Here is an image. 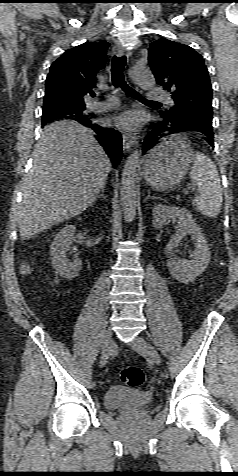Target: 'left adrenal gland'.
I'll return each mask as SVG.
<instances>
[{"label": "left adrenal gland", "mask_w": 238, "mask_h": 476, "mask_svg": "<svg viewBox=\"0 0 238 476\" xmlns=\"http://www.w3.org/2000/svg\"><path fill=\"white\" fill-rule=\"evenodd\" d=\"M157 198H158V197L151 196V195H150V191H148V195H147V197L145 198L144 201H147L148 199H157Z\"/></svg>", "instance_id": "a2214340"}]
</instances>
